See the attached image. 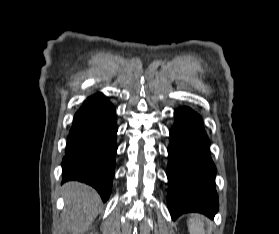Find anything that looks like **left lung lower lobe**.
<instances>
[{"label": "left lung lower lobe", "instance_id": "left-lung-lower-lobe-1", "mask_svg": "<svg viewBox=\"0 0 279 234\" xmlns=\"http://www.w3.org/2000/svg\"><path fill=\"white\" fill-rule=\"evenodd\" d=\"M174 115L167 170L171 217L175 220L186 212H200L212 218L219 206L214 181L216 168L202 119L187 107L177 109Z\"/></svg>", "mask_w": 279, "mask_h": 234}]
</instances>
